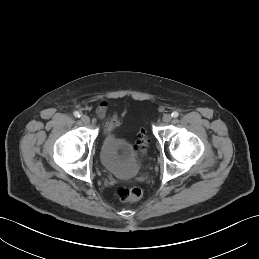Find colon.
I'll use <instances>...</instances> for the list:
<instances>
[{
    "mask_svg": "<svg viewBox=\"0 0 259 259\" xmlns=\"http://www.w3.org/2000/svg\"><path fill=\"white\" fill-rule=\"evenodd\" d=\"M149 145V138L146 132H142L136 142V149L140 155H144ZM117 197L123 202H134L139 200L143 192L139 187L120 186L116 188Z\"/></svg>",
    "mask_w": 259,
    "mask_h": 259,
    "instance_id": "colon-1",
    "label": "colon"
}]
</instances>
